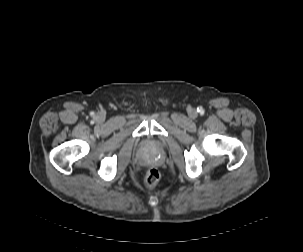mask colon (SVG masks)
<instances>
[{
	"instance_id": "obj_1",
	"label": "colon",
	"mask_w": 303,
	"mask_h": 252,
	"mask_svg": "<svg viewBox=\"0 0 303 252\" xmlns=\"http://www.w3.org/2000/svg\"><path fill=\"white\" fill-rule=\"evenodd\" d=\"M159 180L160 172L155 168H151L146 172L144 183L147 188H153L154 186H156Z\"/></svg>"
}]
</instances>
